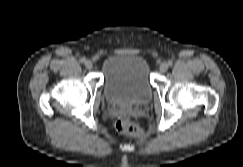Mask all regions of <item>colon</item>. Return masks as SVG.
<instances>
[{
    "label": "colon",
    "mask_w": 243,
    "mask_h": 167,
    "mask_svg": "<svg viewBox=\"0 0 243 167\" xmlns=\"http://www.w3.org/2000/svg\"><path fill=\"white\" fill-rule=\"evenodd\" d=\"M116 129L125 134L136 136L141 134V129L129 117L126 116L117 120Z\"/></svg>",
    "instance_id": "5ec220e1"
}]
</instances>
